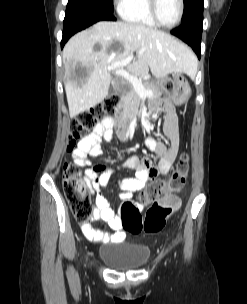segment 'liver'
<instances>
[{
	"label": "liver",
	"mask_w": 247,
	"mask_h": 304,
	"mask_svg": "<svg viewBox=\"0 0 247 304\" xmlns=\"http://www.w3.org/2000/svg\"><path fill=\"white\" fill-rule=\"evenodd\" d=\"M96 44L100 50H94ZM134 51L137 60L127 65L134 76L145 75L149 69L156 78L170 73L192 75L196 71L197 62L190 49L171 35L138 23L98 22L75 34L63 50L64 85L71 118L106 98L111 82L107 67ZM77 64L87 69L81 87L72 80Z\"/></svg>",
	"instance_id": "1"
}]
</instances>
